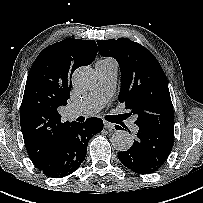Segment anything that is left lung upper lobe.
<instances>
[{"label": "left lung upper lobe", "instance_id": "5c2ea615", "mask_svg": "<svg viewBox=\"0 0 203 203\" xmlns=\"http://www.w3.org/2000/svg\"><path fill=\"white\" fill-rule=\"evenodd\" d=\"M103 57L115 58L121 71L119 101L137 116L138 127L174 133V112L166 76L155 56L127 38L97 40Z\"/></svg>", "mask_w": 203, "mask_h": 203}]
</instances>
